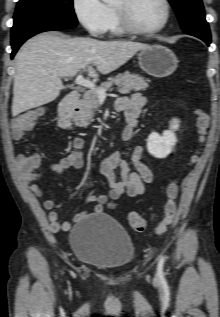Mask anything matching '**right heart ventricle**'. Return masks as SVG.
<instances>
[{"instance_id": "e07e8e85", "label": "right heart ventricle", "mask_w": 220, "mask_h": 317, "mask_svg": "<svg viewBox=\"0 0 220 317\" xmlns=\"http://www.w3.org/2000/svg\"><path fill=\"white\" fill-rule=\"evenodd\" d=\"M108 9H109V13H110V18H109V23H108L107 30L111 34L119 36V35L122 34V30L120 29V27H119V25L117 23L113 8L112 7H108Z\"/></svg>"}]
</instances>
